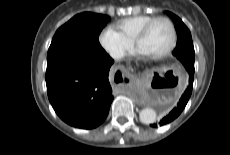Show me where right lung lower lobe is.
<instances>
[{
    "label": "right lung lower lobe",
    "mask_w": 230,
    "mask_h": 155,
    "mask_svg": "<svg viewBox=\"0 0 230 155\" xmlns=\"http://www.w3.org/2000/svg\"><path fill=\"white\" fill-rule=\"evenodd\" d=\"M113 59H65L47 64L49 101L67 124L92 129L107 117L113 100L108 75Z\"/></svg>",
    "instance_id": "1"
}]
</instances>
